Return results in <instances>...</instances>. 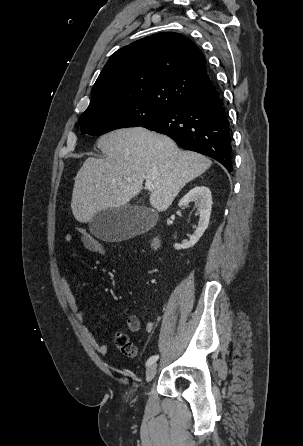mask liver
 Here are the masks:
<instances>
[{"label":"liver","instance_id":"6515ba94","mask_svg":"<svg viewBox=\"0 0 303 446\" xmlns=\"http://www.w3.org/2000/svg\"><path fill=\"white\" fill-rule=\"evenodd\" d=\"M98 148L106 158H87L74 179L71 209L81 223L127 204L141 192L144 180L154 186L151 206L165 211L180 190L212 164L209 158L181 150L169 137L142 127L107 133L99 138Z\"/></svg>","mask_w":303,"mask_h":446}]
</instances>
